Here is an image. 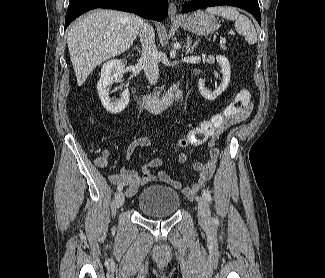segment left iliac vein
<instances>
[{
    "label": "left iliac vein",
    "mask_w": 325,
    "mask_h": 278,
    "mask_svg": "<svg viewBox=\"0 0 325 278\" xmlns=\"http://www.w3.org/2000/svg\"><path fill=\"white\" fill-rule=\"evenodd\" d=\"M198 220L202 225H208L211 222L210 208L207 200L202 196H197Z\"/></svg>",
    "instance_id": "1"
}]
</instances>
